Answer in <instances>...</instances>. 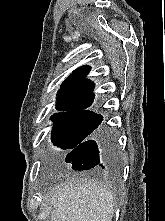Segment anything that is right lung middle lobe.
Listing matches in <instances>:
<instances>
[{
  "label": "right lung middle lobe",
  "mask_w": 165,
  "mask_h": 221,
  "mask_svg": "<svg viewBox=\"0 0 165 221\" xmlns=\"http://www.w3.org/2000/svg\"><path fill=\"white\" fill-rule=\"evenodd\" d=\"M51 120L54 122L52 141L62 149H72L86 139L98 126L103 118L96 113H56Z\"/></svg>",
  "instance_id": "1"
}]
</instances>
